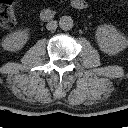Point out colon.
Segmentation results:
<instances>
[{"label":"colon","mask_w":128,"mask_h":128,"mask_svg":"<svg viewBox=\"0 0 128 128\" xmlns=\"http://www.w3.org/2000/svg\"><path fill=\"white\" fill-rule=\"evenodd\" d=\"M16 21L12 0H0V26L11 28Z\"/></svg>","instance_id":"colon-1"}]
</instances>
